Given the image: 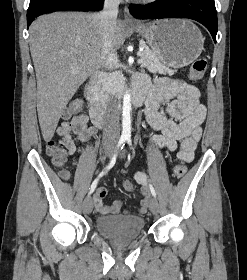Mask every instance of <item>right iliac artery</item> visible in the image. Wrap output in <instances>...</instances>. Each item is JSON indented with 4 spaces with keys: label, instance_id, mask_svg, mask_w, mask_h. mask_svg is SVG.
Here are the masks:
<instances>
[{
    "label": "right iliac artery",
    "instance_id": "obj_1",
    "mask_svg": "<svg viewBox=\"0 0 247 280\" xmlns=\"http://www.w3.org/2000/svg\"><path fill=\"white\" fill-rule=\"evenodd\" d=\"M125 142H126V137H121L119 139V142L117 144V148H116V151L115 153L113 154L112 158H111V161L110 163L107 165V167L100 173V175L98 176V178H96L93 183L91 184V187H90V190H89V194H92L94 192V190L96 189L97 187V183H98V180L100 177H102L108 170H110L115 162H116V158H117V154H118V151L122 150V148L124 147L125 145Z\"/></svg>",
    "mask_w": 247,
    "mask_h": 280
}]
</instances>
